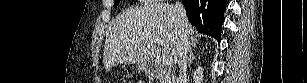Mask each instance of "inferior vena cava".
Masks as SVG:
<instances>
[{
  "label": "inferior vena cava",
  "instance_id": "1",
  "mask_svg": "<svg viewBox=\"0 0 307 83\" xmlns=\"http://www.w3.org/2000/svg\"><path fill=\"white\" fill-rule=\"evenodd\" d=\"M174 9L180 20V44L178 47L176 60L179 65V82L182 83L186 78L188 55L191 49L187 35L189 23L186 16V10L181 2L176 1L174 4Z\"/></svg>",
  "mask_w": 307,
  "mask_h": 83
}]
</instances>
